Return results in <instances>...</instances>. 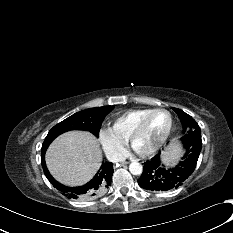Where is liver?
Returning <instances> with one entry per match:
<instances>
[{"label": "liver", "mask_w": 233, "mask_h": 233, "mask_svg": "<svg viewBox=\"0 0 233 233\" xmlns=\"http://www.w3.org/2000/svg\"><path fill=\"white\" fill-rule=\"evenodd\" d=\"M175 151L163 153L165 160L174 158ZM102 161L98 140L86 131L67 132L50 145L46 164L52 176L68 186L87 183L97 172Z\"/></svg>", "instance_id": "liver-1"}]
</instances>
